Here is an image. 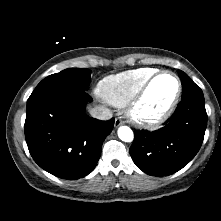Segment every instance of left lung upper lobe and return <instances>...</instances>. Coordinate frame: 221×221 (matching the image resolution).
I'll return each mask as SVG.
<instances>
[{"label":"left lung upper lobe","instance_id":"obj_1","mask_svg":"<svg viewBox=\"0 0 221 221\" xmlns=\"http://www.w3.org/2000/svg\"><path fill=\"white\" fill-rule=\"evenodd\" d=\"M178 75L182 82V99L188 98V97H198V98H204L203 92L189 77L186 73H184L181 70H178Z\"/></svg>","mask_w":221,"mask_h":221}]
</instances>
